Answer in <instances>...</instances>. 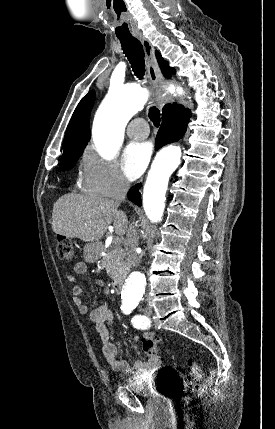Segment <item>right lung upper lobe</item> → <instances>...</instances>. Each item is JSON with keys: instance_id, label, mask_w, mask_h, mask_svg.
<instances>
[{"instance_id": "cb5924a9", "label": "right lung upper lobe", "mask_w": 275, "mask_h": 429, "mask_svg": "<svg viewBox=\"0 0 275 429\" xmlns=\"http://www.w3.org/2000/svg\"><path fill=\"white\" fill-rule=\"evenodd\" d=\"M156 57L159 64H162L163 59L161 55L156 51ZM164 75L168 76L169 74L163 70ZM95 100L94 91H90L78 104L75 109L72 118L66 129L65 138L63 141V155H71L79 152H83V149L86 147L87 142L90 140L91 133L89 127V117L90 112ZM170 105L167 104L163 108L162 115L165 113L167 108Z\"/></svg>"}]
</instances>
